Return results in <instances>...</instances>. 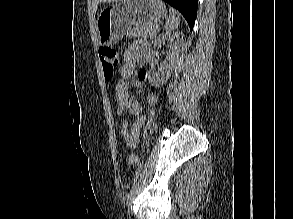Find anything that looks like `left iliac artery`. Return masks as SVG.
Returning <instances> with one entry per match:
<instances>
[{
    "instance_id": "obj_1",
    "label": "left iliac artery",
    "mask_w": 293,
    "mask_h": 219,
    "mask_svg": "<svg viewBox=\"0 0 293 219\" xmlns=\"http://www.w3.org/2000/svg\"><path fill=\"white\" fill-rule=\"evenodd\" d=\"M140 173H141V166L137 169V171H136V174H135V178H134V182H133V185H132V189H131V192H132V190L136 187V185H137V180H138V178H139V175H140ZM130 192V193H131Z\"/></svg>"
}]
</instances>
